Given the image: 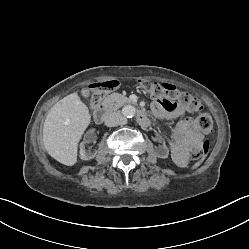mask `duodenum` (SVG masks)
<instances>
[{"label":"duodenum","instance_id":"1","mask_svg":"<svg viewBox=\"0 0 249 249\" xmlns=\"http://www.w3.org/2000/svg\"><path fill=\"white\" fill-rule=\"evenodd\" d=\"M106 111H107V106L105 104H100L93 112L94 120L97 123L103 122ZM137 121L141 126H148L149 125V119L143 111H140L138 113Z\"/></svg>","mask_w":249,"mask_h":249}]
</instances>
